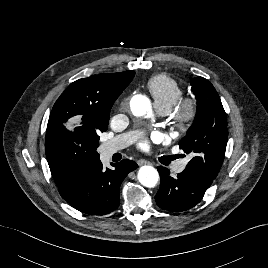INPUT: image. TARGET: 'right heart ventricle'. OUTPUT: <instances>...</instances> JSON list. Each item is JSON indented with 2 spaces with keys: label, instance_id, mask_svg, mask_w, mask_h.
<instances>
[{
  "label": "right heart ventricle",
  "instance_id": "e07e8e85",
  "mask_svg": "<svg viewBox=\"0 0 268 268\" xmlns=\"http://www.w3.org/2000/svg\"><path fill=\"white\" fill-rule=\"evenodd\" d=\"M147 90L158 110H165L167 113L182 98L184 93L176 81L165 75L152 77L147 83Z\"/></svg>",
  "mask_w": 268,
  "mask_h": 268
}]
</instances>
